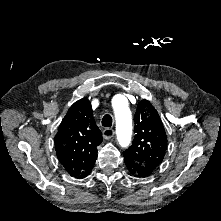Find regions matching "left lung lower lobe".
Instances as JSON below:
<instances>
[{
	"label": "left lung lower lobe",
	"instance_id": "left-lung-lower-lobe-1",
	"mask_svg": "<svg viewBox=\"0 0 221 221\" xmlns=\"http://www.w3.org/2000/svg\"><path fill=\"white\" fill-rule=\"evenodd\" d=\"M124 161L129 172L135 177H145L149 174V172L141 168L135 161L125 155Z\"/></svg>",
	"mask_w": 221,
	"mask_h": 221
}]
</instances>
